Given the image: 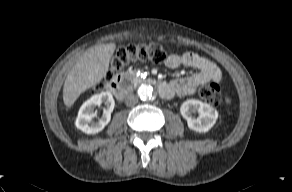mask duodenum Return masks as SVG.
Instances as JSON below:
<instances>
[{"label":"duodenum","mask_w":292,"mask_h":192,"mask_svg":"<svg viewBox=\"0 0 292 192\" xmlns=\"http://www.w3.org/2000/svg\"><path fill=\"white\" fill-rule=\"evenodd\" d=\"M124 82H125L124 78L121 76H118L114 78L109 84V90L119 100H122L125 97L126 92H127ZM157 87L162 97L168 96L170 94L171 89L168 83L163 82V81L159 82L157 84Z\"/></svg>","instance_id":"410a0bca"}]
</instances>
